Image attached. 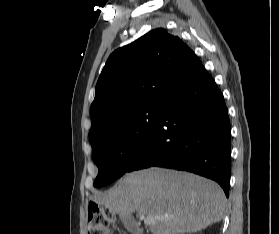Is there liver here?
Returning a JSON list of instances; mask_svg holds the SVG:
<instances>
[{"label":"liver","mask_w":279,"mask_h":234,"mask_svg":"<svg viewBox=\"0 0 279 234\" xmlns=\"http://www.w3.org/2000/svg\"><path fill=\"white\" fill-rule=\"evenodd\" d=\"M93 200L120 216H151L152 234L193 233L220 222L226 213L221 187L206 178L160 168L126 174Z\"/></svg>","instance_id":"obj_1"}]
</instances>
